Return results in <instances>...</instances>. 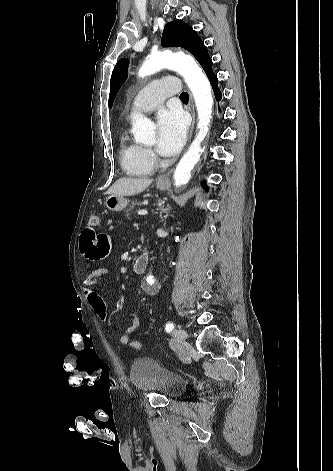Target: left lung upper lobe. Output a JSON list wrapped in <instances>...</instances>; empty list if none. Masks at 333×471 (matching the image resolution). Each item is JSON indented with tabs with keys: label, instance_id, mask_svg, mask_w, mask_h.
Wrapping results in <instances>:
<instances>
[{
	"label": "left lung upper lobe",
	"instance_id": "1",
	"mask_svg": "<svg viewBox=\"0 0 333 471\" xmlns=\"http://www.w3.org/2000/svg\"><path fill=\"white\" fill-rule=\"evenodd\" d=\"M161 45L163 47H182L188 50L201 64L209 55L207 47L191 26L181 20H175L165 25L162 34ZM128 61L121 59L114 67L111 76L109 94V107L112 106L114 98L127 78Z\"/></svg>",
	"mask_w": 333,
	"mask_h": 471
}]
</instances>
